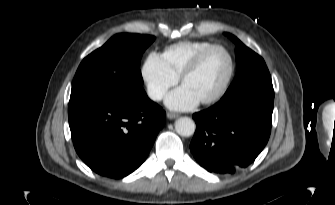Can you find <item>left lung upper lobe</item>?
I'll return each instance as SVG.
<instances>
[{
    "label": "left lung upper lobe",
    "instance_id": "5c2ea615",
    "mask_svg": "<svg viewBox=\"0 0 335 205\" xmlns=\"http://www.w3.org/2000/svg\"><path fill=\"white\" fill-rule=\"evenodd\" d=\"M236 45V76L222 98L244 92L260 93L274 98L269 70L261 56L245 46L238 38L225 33Z\"/></svg>",
    "mask_w": 335,
    "mask_h": 205
}]
</instances>
